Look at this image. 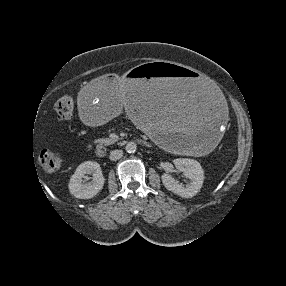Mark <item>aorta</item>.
Masks as SVG:
<instances>
[{
    "mask_svg": "<svg viewBox=\"0 0 286 286\" xmlns=\"http://www.w3.org/2000/svg\"><path fill=\"white\" fill-rule=\"evenodd\" d=\"M137 145L134 142H128L125 146V150L128 153H134L136 151Z\"/></svg>",
    "mask_w": 286,
    "mask_h": 286,
    "instance_id": "obj_1",
    "label": "aorta"
}]
</instances>
